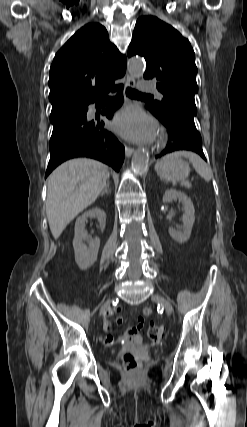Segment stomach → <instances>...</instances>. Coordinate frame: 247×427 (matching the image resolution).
<instances>
[{
  "instance_id": "obj_1",
  "label": "stomach",
  "mask_w": 247,
  "mask_h": 427,
  "mask_svg": "<svg viewBox=\"0 0 247 427\" xmlns=\"http://www.w3.org/2000/svg\"><path fill=\"white\" fill-rule=\"evenodd\" d=\"M156 171L163 180L177 182L188 177L190 167L181 157H177L167 162H160Z\"/></svg>"
}]
</instances>
